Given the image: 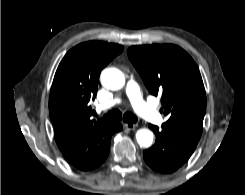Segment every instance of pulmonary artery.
Masks as SVG:
<instances>
[{"label": "pulmonary artery", "instance_id": "e3ab8cb5", "mask_svg": "<svg viewBox=\"0 0 245 195\" xmlns=\"http://www.w3.org/2000/svg\"><path fill=\"white\" fill-rule=\"evenodd\" d=\"M126 93L130 99L133 108L142 118L154 124L162 123L161 115L154 107L143 100L140 89L133 79L128 80L126 84ZM118 103H120L119 99H113L106 103L100 104L98 108L99 110H105L115 106Z\"/></svg>", "mask_w": 245, "mask_h": 195}]
</instances>
